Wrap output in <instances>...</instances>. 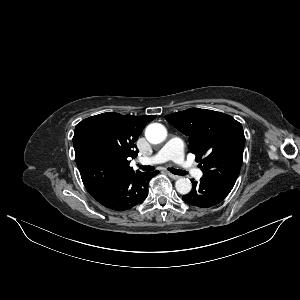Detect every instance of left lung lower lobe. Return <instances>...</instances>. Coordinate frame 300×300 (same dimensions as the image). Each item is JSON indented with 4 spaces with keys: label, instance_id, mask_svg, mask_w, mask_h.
<instances>
[{
    "label": "left lung lower lobe",
    "instance_id": "0a47b994",
    "mask_svg": "<svg viewBox=\"0 0 300 300\" xmlns=\"http://www.w3.org/2000/svg\"><path fill=\"white\" fill-rule=\"evenodd\" d=\"M193 187L190 193L182 199L194 206L207 208L221 202L232 190V188L215 181L201 178L199 182L191 180Z\"/></svg>",
    "mask_w": 300,
    "mask_h": 300
}]
</instances>
